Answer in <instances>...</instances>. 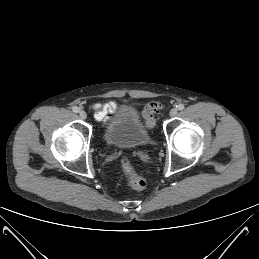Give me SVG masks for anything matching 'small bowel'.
Returning <instances> with one entry per match:
<instances>
[{"label":"small bowel","mask_w":259,"mask_h":259,"mask_svg":"<svg viewBox=\"0 0 259 259\" xmlns=\"http://www.w3.org/2000/svg\"><path fill=\"white\" fill-rule=\"evenodd\" d=\"M116 103L114 101H109L107 103H95L92 108L94 110V116L98 121H107L113 112L116 110Z\"/></svg>","instance_id":"c3829d8e"}]
</instances>
